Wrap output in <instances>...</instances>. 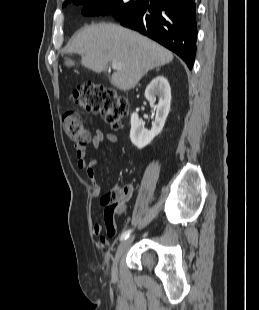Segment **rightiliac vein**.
Wrapping results in <instances>:
<instances>
[{
	"label": "right iliac vein",
	"instance_id": "right-iliac-vein-1",
	"mask_svg": "<svg viewBox=\"0 0 259 310\" xmlns=\"http://www.w3.org/2000/svg\"><path fill=\"white\" fill-rule=\"evenodd\" d=\"M135 236H130L127 239L123 240L120 245L117 248L114 260H113V265H112V276L116 277L117 276V265H118V261L120 259V257L122 256V254L125 252V250L131 245V243L133 242Z\"/></svg>",
	"mask_w": 259,
	"mask_h": 310
}]
</instances>
